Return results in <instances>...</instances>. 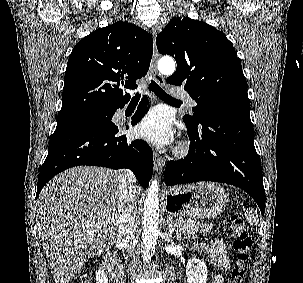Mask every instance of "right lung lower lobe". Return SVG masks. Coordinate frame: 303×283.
I'll return each instance as SVG.
<instances>
[{"instance_id": "98d812e1", "label": "right lung lower lobe", "mask_w": 303, "mask_h": 283, "mask_svg": "<svg viewBox=\"0 0 303 283\" xmlns=\"http://www.w3.org/2000/svg\"><path fill=\"white\" fill-rule=\"evenodd\" d=\"M147 101V96H144L132 120V125L142 118L147 109ZM119 132L120 129L117 126L103 130L89 127L55 130L49 141L48 155L40 169L36 199L52 177L79 165L112 169L129 168L140 185L144 189L147 188L153 173L152 150L144 141H127L126 136L120 135Z\"/></svg>"}]
</instances>
